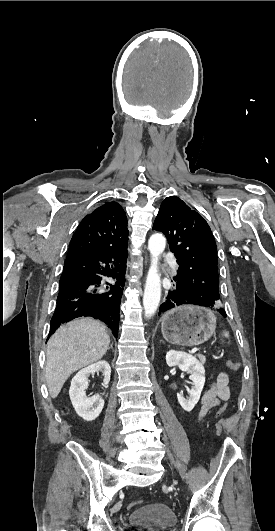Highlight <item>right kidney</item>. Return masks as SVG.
<instances>
[{
  "instance_id": "right-kidney-1",
  "label": "right kidney",
  "mask_w": 275,
  "mask_h": 531,
  "mask_svg": "<svg viewBox=\"0 0 275 531\" xmlns=\"http://www.w3.org/2000/svg\"><path fill=\"white\" fill-rule=\"evenodd\" d=\"M101 371L103 373V385H108L111 375V367L107 361H98L90 367L81 369L71 381V387L69 389V397L71 403L79 417H82L84 421H94L99 417L103 407L104 399L100 395H94V397H86V389L88 387V377L90 373H96Z\"/></svg>"
}]
</instances>
